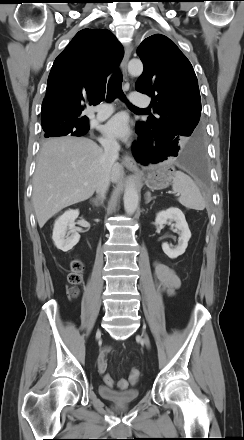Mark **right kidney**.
Masks as SVG:
<instances>
[{"label": "right kidney", "instance_id": "obj_1", "mask_svg": "<svg viewBox=\"0 0 244 440\" xmlns=\"http://www.w3.org/2000/svg\"><path fill=\"white\" fill-rule=\"evenodd\" d=\"M78 216L79 210H68L55 221L52 239L54 245L63 252H68L79 242L80 235L75 229Z\"/></svg>", "mask_w": 244, "mask_h": 440}]
</instances>
